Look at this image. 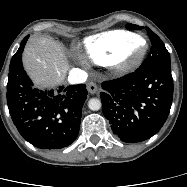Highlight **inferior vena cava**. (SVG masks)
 Returning <instances> with one entry per match:
<instances>
[{"label":"inferior vena cava","mask_w":187,"mask_h":187,"mask_svg":"<svg viewBox=\"0 0 187 187\" xmlns=\"http://www.w3.org/2000/svg\"><path fill=\"white\" fill-rule=\"evenodd\" d=\"M88 75L85 71L79 69V68H73L69 72L68 76V82L70 84H80L84 83L87 79Z\"/></svg>","instance_id":"1"}]
</instances>
